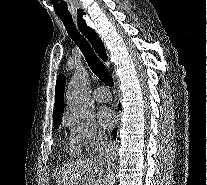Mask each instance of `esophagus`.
I'll return each mask as SVG.
<instances>
[{"instance_id":"esophagus-1","label":"esophagus","mask_w":207,"mask_h":185,"mask_svg":"<svg viewBox=\"0 0 207 185\" xmlns=\"http://www.w3.org/2000/svg\"><path fill=\"white\" fill-rule=\"evenodd\" d=\"M75 14H86V9H75ZM75 20H77L76 25L79 31L93 29L92 25H88L90 20L86 19V15H75ZM84 37L89 38L88 42L93 43V48H104V43H101V38L103 37L102 33H85ZM98 55H107L100 56V61H105L109 64V55L107 54V50H98Z\"/></svg>"}]
</instances>
